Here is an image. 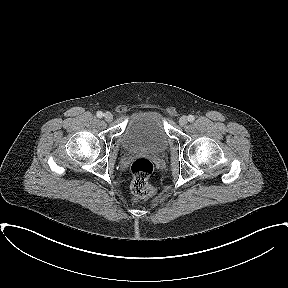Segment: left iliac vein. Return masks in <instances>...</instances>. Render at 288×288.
Instances as JSON below:
<instances>
[{"instance_id":"obj_1","label":"left iliac vein","mask_w":288,"mask_h":288,"mask_svg":"<svg viewBox=\"0 0 288 288\" xmlns=\"http://www.w3.org/2000/svg\"><path fill=\"white\" fill-rule=\"evenodd\" d=\"M188 122V119L186 116H181L180 119H179V124L180 126H185Z\"/></svg>"}]
</instances>
